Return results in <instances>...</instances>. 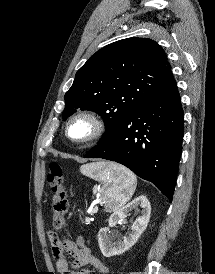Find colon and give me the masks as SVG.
I'll return each instance as SVG.
<instances>
[{
  "mask_svg": "<svg viewBox=\"0 0 215 274\" xmlns=\"http://www.w3.org/2000/svg\"><path fill=\"white\" fill-rule=\"evenodd\" d=\"M47 182L53 191L52 223L55 229H61L64 224V216L68 210V194L63 184V170L60 164L56 162L50 164ZM49 238L56 239V233L50 232Z\"/></svg>",
  "mask_w": 215,
  "mask_h": 274,
  "instance_id": "1",
  "label": "colon"
}]
</instances>
